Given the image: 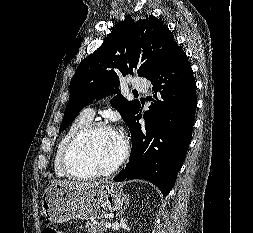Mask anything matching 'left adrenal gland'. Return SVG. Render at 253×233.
<instances>
[{"instance_id":"left-adrenal-gland-1","label":"left adrenal gland","mask_w":253,"mask_h":233,"mask_svg":"<svg viewBox=\"0 0 253 233\" xmlns=\"http://www.w3.org/2000/svg\"><path fill=\"white\" fill-rule=\"evenodd\" d=\"M128 205H129V195L126 196V203H125L124 208L116 216L118 217V216L122 215L124 213V211L126 210Z\"/></svg>"}]
</instances>
